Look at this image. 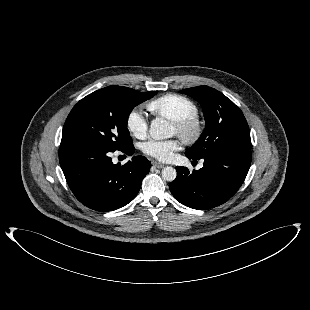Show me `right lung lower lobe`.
<instances>
[{
	"label": "right lung lower lobe",
	"mask_w": 310,
	"mask_h": 310,
	"mask_svg": "<svg viewBox=\"0 0 310 310\" xmlns=\"http://www.w3.org/2000/svg\"><path fill=\"white\" fill-rule=\"evenodd\" d=\"M115 150L96 144L61 145L59 161L66 181L76 198L88 208L108 212L125 206L137 195L151 163L134 156L124 165L113 164ZM132 155V145L120 150Z\"/></svg>",
	"instance_id": "obj_1"
}]
</instances>
